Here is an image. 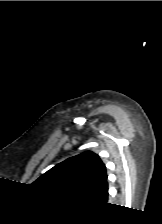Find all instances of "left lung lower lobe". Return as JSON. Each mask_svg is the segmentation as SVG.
I'll return each instance as SVG.
<instances>
[{"mask_svg":"<svg viewBox=\"0 0 162 224\" xmlns=\"http://www.w3.org/2000/svg\"><path fill=\"white\" fill-rule=\"evenodd\" d=\"M88 200L100 203V204H106L107 199H108V184L107 182L95 193L90 195Z\"/></svg>","mask_w":162,"mask_h":224,"instance_id":"1","label":"left lung lower lobe"}]
</instances>
